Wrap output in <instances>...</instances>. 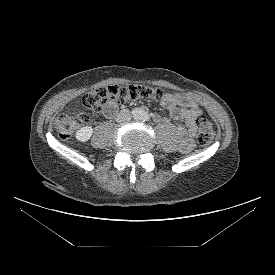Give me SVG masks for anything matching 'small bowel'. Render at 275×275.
Returning a JSON list of instances; mask_svg holds the SVG:
<instances>
[{
  "label": "small bowel",
  "mask_w": 275,
  "mask_h": 275,
  "mask_svg": "<svg viewBox=\"0 0 275 275\" xmlns=\"http://www.w3.org/2000/svg\"><path fill=\"white\" fill-rule=\"evenodd\" d=\"M162 106L169 111L172 119L183 122L177 126L180 137V150L189 152L194 146V135L196 132V120L201 115L200 106L192 98L180 93H167L161 99ZM118 111L116 101L108 102L102 108L105 117L111 118Z\"/></svg>",
  "instance_id": "c3829d8e"
}]
</instances>
